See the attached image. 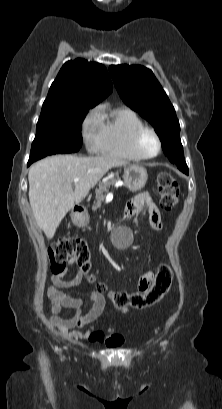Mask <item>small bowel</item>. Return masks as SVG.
<instances>
[{
	"label": "small bowel",
	"mask_w": 222,
	"mask_h": 409,
	"mask_svg": "<svg viewBox=\"0 0 222 409\" xmlns=\"http://www.w3.org/2000/svg\"><path fill=\"white\" fill-rule=\"evenodd\" d=\"M144 208L147 209L150 225L155 230H162V221L159 209L147 192L140 193L134 199L130 200L124 210V216L129 217L140 213ZM71 260L70 263H73ZM67 270L61 273L53 274L47 287V295L65 308L80 310L84 305L90 304L91 307L86 313L80 311L70 319H62L56 315L50 317L52 325L62 334L77 339L88 340L93 343H107L109 346H117L121 343L122 338L110 341L113 336L114 328H108L107 332L97 330L96 322L103 314L105 309V298L98 292H91L84 297H75L65 293L64 289H71L78 286L84 278V274L79 271L73 278L66 280L64 277ZM154 274L148 272L144 274L138 282V287L150 285L153 281ZM124 309L122 313H126ZM85 329L71 330L73 328Z\"/></svg>",
	"instance_id": "1"
}]
</instances>
